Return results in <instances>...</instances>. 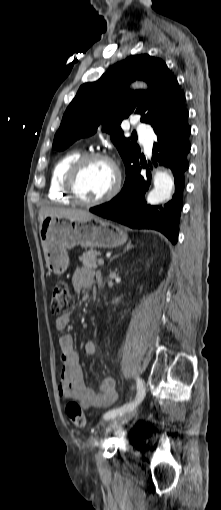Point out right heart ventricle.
Masks as SVG:
<instances>
[{"label":"right heart ventricle","mask_w":221,"mask_h":510,"mask_svg":"<svg viewBox=\"0 0 221 510\" xmlns=\"http://www.w3.org/2000/svg\"><path fill=\"white\" fill-rule=\"evenodd\" d=\"M81 155L77 149L66 152L54 164L50 177L49 197L51 200L68 204L71 199L64 191L65 176L73 162Z\"/></svg>","instance_id":"right-heart-ventricle-1"}]
</instances>
